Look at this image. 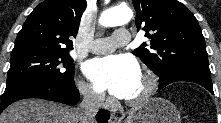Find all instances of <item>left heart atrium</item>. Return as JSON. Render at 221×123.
<instances>
[{
    "label": "left heart atrium",
    "instance_id": "39dd6f15",
    "mask_svg": "<svg viewBox=\"0 0 221 123\" xmlns=\"http://www.w3.org/2000/svg\"><path fill=\"white\" fill-rule=\"evenodd\" d=\"M85 74L99 91L125 98L140 77L137 62L125 55H109L90 60Z\"/></svg>",
    "mask_w": 221,
    "mask_h": 123
}]
</instances>
